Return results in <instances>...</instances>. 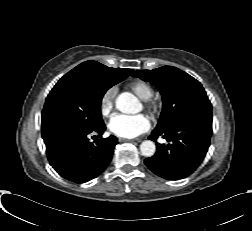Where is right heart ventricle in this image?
I'll use <instances>...</instances> for the list:
<instances>
[{"mask_svg":"<svg viewBox=\"0 0 252 231\" xmlns=\"http://www.w3.org/2000/svg\"><path fill=\"white\" fill-rule=\"evenodd\" d=\"M130 89L142 100L148 101L154 94L153 88L144 81H135L129 85Z\"/></svg>","mask_w":252,"mask_h":231,"instance_id":"obj_1","label":"right heart ventricle"}]
</instances>
